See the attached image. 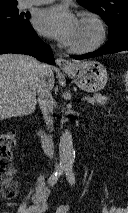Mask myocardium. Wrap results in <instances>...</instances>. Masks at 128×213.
<instances>
[{
  "label": "myocardium",
  "instance_id": "f54148a6",
  "mask_svg": "<svg viewBox=\"0 0 128 213\" xmlns=\"http://www.w3.org/2000/svg\"><path fill=\"white\" fill-rule=\"evenodd\" d=\"M80 20H86L92 22L97 29L96 39L85 46H70L69 50L73 53H89L97 50L103 45L107 37V28L104 21L95 13L82 12L80 14Z\"/></svg>",
  "mask_w": 128,
  "mask_h": 213
}]
</instances>
